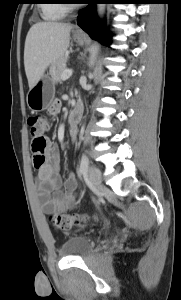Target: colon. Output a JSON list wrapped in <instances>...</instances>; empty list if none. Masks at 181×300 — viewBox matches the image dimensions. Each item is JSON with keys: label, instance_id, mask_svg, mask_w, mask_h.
Returning <instances> with one entry per match:
<instances>
[{"label": "colon", "instance_id": "1", "mask_svg": "<svg viewBox=\"0 0 181 300\" xmlns=\"http://www.w3.org/2000/svg\"><path fill=\"white\" fill-rule=\"evenodd\" d=\"M27 123L32 136V152L42 154L48 146L45 132L50 129L52 121L47 116L35 114L28 118ZM86 220V216L77 214H56L50 217V222L53 227L59 230L71 229L72 227L77 226Z\"/></svg>", "mask_w": 181, "mask_h": 300}]
</instances>
